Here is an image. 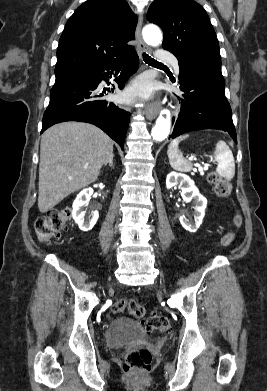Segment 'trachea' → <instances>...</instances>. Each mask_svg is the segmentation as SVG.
I'll use <instances>...</instances> for the list:
<instances>
[{
	"label": "trachea",
	"instance_id": "3493384b",
	"mask_svg": "<svg viewBox=\"0 0 267 391\" xmlns=\"http://www.w3.org/2000/svg\"><path fill=\"white\" fill-rule=\"evenodd\" d=\"M143 59L149 65H152V66H163L162 63H160V62L156 61L155 59L151 58L146 53H143Z\"/></svg>",
	"mask_w": 267,
	"mask_h": 391
}]
</instances>
